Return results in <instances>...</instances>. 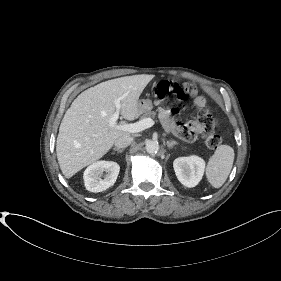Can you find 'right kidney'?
I'll use <instances>...</instances> for the list:
<instances>
[{
	"instance_id": "1",
	"label": "right kidney",
	"mask_w": 281,
	"mask_h": 281,
	"mask_svg": "<svg viewBox=\"0 0 281 281\" xmlns=\"http://www.w3.org/2000/svg\"><path fill=\"white\" fill-rule=\"evenodd\" d=\"M119 171L120 166L116 162H95L84 171V185L90 192H102L116 182Z\"/></svg>"
}]
</instances>
